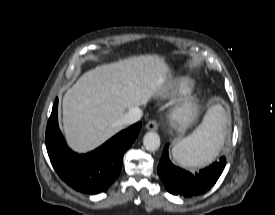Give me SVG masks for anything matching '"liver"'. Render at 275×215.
Segmentation results:
<instances>
[{"mask_svg":"<svg viewBox=\"0 0 275 215\" xmlns=\"http://www.w3.org/2000/svg\"><path fill=\"white\" fill-rule=\"evenodd\" d=\"M170 69L158 55L102 64L84 73L63 98V131L77 152L95 149L119 132L116 122L159 93Z\"/></svg>","mask_w":275,"mask_h":215,"instance_id":"liver-1","label":"liver"}]
</instances>
